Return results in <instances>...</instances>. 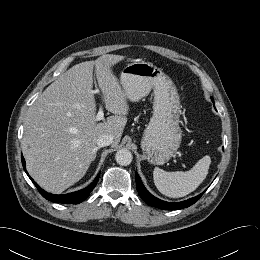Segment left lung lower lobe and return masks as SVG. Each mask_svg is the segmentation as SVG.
<instances>
[{
    "instance_id": "obj_1",
    "label": "left lung lower lobe",
    "mask_w": 260,
    "mask_h": 260,
    "mask_svg": "<svg viewBox=\"0 0 260 260\" xmlns=\"http://www.w3.org/2000/svg\"><path fill=\"white\" fill-rule=\"evenodd\" d=\"M135 179H136L137 190H138V193H139L140 197L148 205H151L153 207H157V208H160V209H165V210L183 209V208L189 207L192 204H194L202 196V194H200V195H198V196H196L194 198H191V199H188V200L182 201V202H177V203L165 202V201H162V200L154 197L153 195H151L146 190V188L142 184L141 179H140V177L138 176L137 173H135Z\"/></svg>"
}]
</instances>
